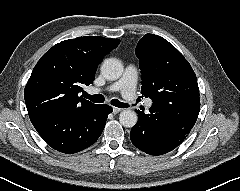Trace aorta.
<instances>
[{
	"instance_id": "762f6f07",
	"label": "aorta",
	"mask_w": 240,
	"mask_h": 191,
	"mask_svg": "<svg viewBox=\"0 0 240 191\" xmlns=\"http://www.w3.org/2000/svg\"><path fill=\"white\" fill-rule=\"evenodd\" d=\"M101 73L108 80H117L123 73V64L116 58H108L102 63ZM137 119V114L130 109H125L119 114L121 125L127 128H132Z\"/></svg>"
}]
</instances>
